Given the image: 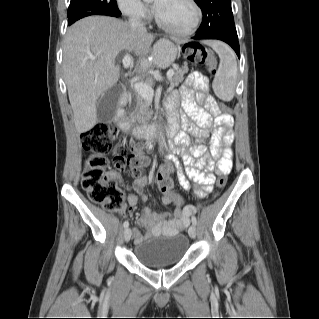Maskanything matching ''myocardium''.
Here are the masks:
<instances>
[{
  "mask_svg": "<svg viewBox=\"0 0 319 319\" xmlns=\"http://www.w3.org/2000/svg\"><path fill=\"white\" fill-rule=\"evenodd\" d=\"M191 7L194 10V19L192 21V23L185 29H177L174 27H171L169 25H167L161 18L160 16L157 14L156 11H154V18H155V22L156 24L162 28L163 30H165L166 32L175 35V36H180V37H185V36H189L191 35L198 27L201 18H202V10L200 8V6L198 5V3L195 0H186Z\"/></svg>",
  "mask_w": 319,
  "mask_h": 319,
  "instance_id": "1",
  "label": "myocardium"
}]
</instances>
